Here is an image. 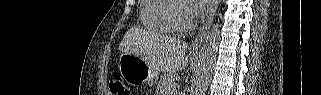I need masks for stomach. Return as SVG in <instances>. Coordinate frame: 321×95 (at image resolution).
I'll use <instances>...</instances> for the list:
<instances>
[{
  "mask_svg": "<svg viewBox=\"0 0 321 95\" xmlns=\"http://www.w3.org/2000/svg\"><path fill=\"white\" fill-rule=\"evenodd\" d=\"M118 66L122 78L131 85H153L159 77V71L141 57L130 53L121 54Z\"/></svg>",
  "mask_w": 321,
  "mask_h": 95,
  "instance_id": "obj_1",
  "label": "stomach"
}]
</instances>
